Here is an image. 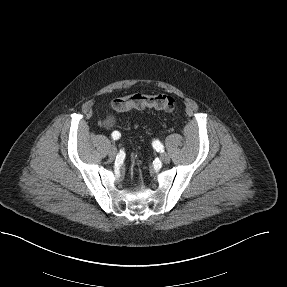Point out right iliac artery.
Returning a JSON list of instances; mask_svg holds the SVG:
<instances>
[{"label": "right iliac artery", "mask_w": 287, "mask_h": 287, "mask_svg": "<svg viewBox=\"0 0 287 287\" xmlns=\"http://www.w3.org/2000/svg\"><path fill=\"white\" fill-rule=\"evenodd\" d=\"M112 137H113L114 140H117V139L120 138V133L118 131H114L112 133Z\"/></svg>", "instance_id": "82829eb1"}]
</instances>
